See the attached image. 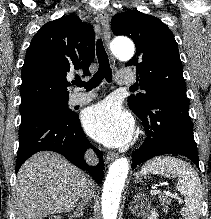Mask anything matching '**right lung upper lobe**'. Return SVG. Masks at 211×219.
<instances>
[{
	"label": "right lung upper lobe",
	"mask_w": 211,
	"mask_h": 219,
	"mask_svg": "<svg viewBox=\"0 0 211 219\" xmlns=\"http://www.w3.org/2000/svg\"><path fill=\"white\" fill-rule=\"evenodd\" d=\"M93 27L77 15L46 23L34 35L22 67L21 104L69 98L67 81L78 72L89 75L93 62Z\"/></svg>",
	"instance_id": "1"
}]
</instances>
